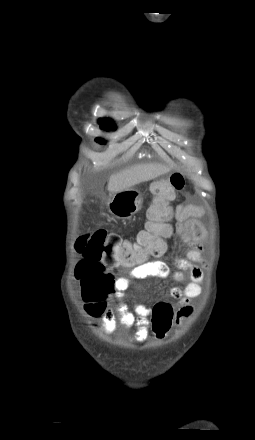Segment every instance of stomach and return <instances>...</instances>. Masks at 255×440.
Listing matches in <instances>:
<instances>
[{"instance_id":"0dacf381","label":"stomach","mask_w":255,"mask_h":440,"mask_svg":"<svg viewBox=\"0 0 255 440\" xmlns=\"http://www.w3.org/2000/svg\"><path fill=\"white\" fill-rule=\"evenodd\" d=\"M143 198L137 189L129 188L115 193L108 199V211L117 219H130L141 210Z\"/></svg>"}]
</instances>
